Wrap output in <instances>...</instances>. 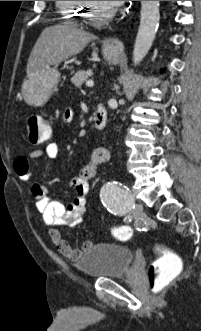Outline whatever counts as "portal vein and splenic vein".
I'll return each instance as SVG.
<instances>
[{
	"instance_id": "18ae733b",
	"label": "portal vein and splenic vein",
	"mask_w": 201,
	"mask_h": 331,
	"mask_svg": "<svg viewBox=\"0 0 201 331\" xmlns=\"http://www.w3.org/2000/svg\"><path fill=\"white\" fill-rule=\"evenodd\" d=\"M86 86H87V87H93V86H94V82H93L92 80H88V81L86 82Z\"/></svg>"
}]
</instances>
